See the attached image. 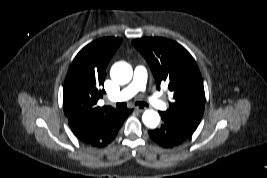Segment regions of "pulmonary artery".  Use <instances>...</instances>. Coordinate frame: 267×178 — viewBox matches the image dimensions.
Instances as JSON below:
<instances>
[{"label":"pulmonary artery","mask_w":267,"mask_h":178,"mask_svg":"<svg viewBox=\"0 0 267 178\" xmlns=\"http://www.w3.org/2000/svg\"><path fill=\"white\" fill-rule=\"evenodd\" d=\"M147 70L143 66H137L134 70V76L129 85L122 89L117 95L110 98V101H125L133 97L138 91H143L146 88ZM147 102L158 109L165 108V103L153 94H146Z\"/></svg>","instance_id":"pulmonary-artery-1"}]
</instances>
